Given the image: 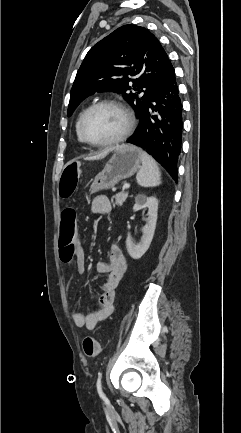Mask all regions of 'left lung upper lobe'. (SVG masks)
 <instances>
[{
	"label": "left lung upper lobe",
	"mask_w": 241,
	"mask_h": 433,
	"mask_svg": "<svg viewBox=\"0 0 241 433\" xmlns=\"http://www.w3.org/2000/svg\"><path fill=\"white\" fill-rule=\"evenodd\" d=\"M170 65L165 50L151 32L144 27L124 25L87 53L71 89L67 114L71 115L89 95L112 91L122 94L139 118ZM141 92L144 94L139 96Z\"/></svg>",
	"instance_id": "left-lung-upper-lobe-1"
}]
</instances>
